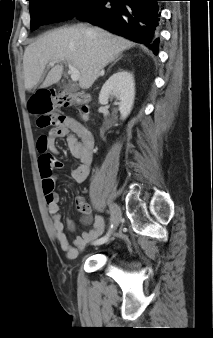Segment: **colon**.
I'll return each mask as SVG.
<instances>
[{
  "mask_svg": "<svg viewBox=\"0 0 213 338\" xmlns=\"http://www.w3.org/2000/svg\"><path fill=\"white\" fill-rule=\"evenodd\" d=\"M89 98L83 94L54 93L51 90L34 92L28 100L29 111L36 116V124L41 128L61 126L65 117L56 110L63 107L80 106L87 110ZM53 184L46 182L45 191L51 190Z\"/></svg>",
  "mask_w": 213,
  "mask_h": 338,
  "instance_id": "obj_1",
  "label": "colon"
}]
</instances>
